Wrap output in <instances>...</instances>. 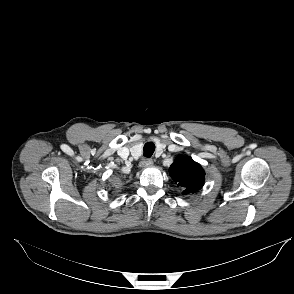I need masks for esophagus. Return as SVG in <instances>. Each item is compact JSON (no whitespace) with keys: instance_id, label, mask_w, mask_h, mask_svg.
Returning <instances> with one entry per match:
<instances>
[{"instance_id":"obj_1","label":"esophagus","mask_w":294,"mask_h":294,"mask_svg":"<svg viewBox=\"0 0 294 294\" xmlns=\"http://www.w3.org/2000/svg\"><path fill=\"white\" fill-rule=\"evenodd\" d=\"M153 165V160L149 158H145L140 162V167H149Z\"/></svg>"}]
</instances>
